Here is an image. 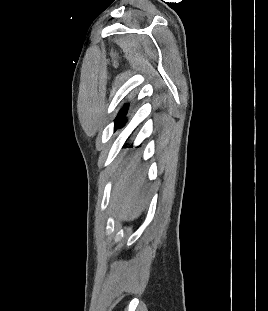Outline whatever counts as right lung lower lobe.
<instances>
[{"label":"right lung lower lobe","mask_w":268,"mask_h":311,"mask_svg":"<svg viewBox=\"0 0 268 311\" xmlns=\"http://www.w3.org/2000/svg\"><path fill=\"white\" fill-rule=\"evenodd\" d=\"M126 114H127V111H126ZM126 114L120 119V121L115 125V130H117L118 128L120 127H123L124 124L126 123Z\"/></svg>","instance_id":"98d812e1"}]
</instances>
